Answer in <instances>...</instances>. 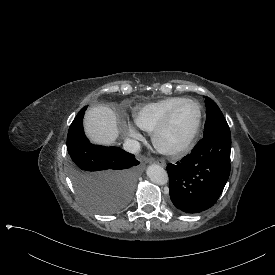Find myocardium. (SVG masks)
Returning <instances> with one entry per match:
<instances>
[{
    "mask_svg": "<svg viewBox=\"0 0 275 275\" xmlns=\"http://www.w3.org/2000/svg\"><path fill=\"white\" fill-rule=\"evenodd\" d=\"M184 103H192L196 106L197 108V118L196 121L194 123V126L192 127L191 131L189 132V134L180 142L176 143V144H168L165 142V136L167 135L171 124H172V119L174 116L175 111L177 110V108L184 104ZM201 122H202V108L200 106V104L194 100V99H184L178 103H176L167 113V115L165 116L163 122L155 128V130L153 131L152 134V142L154 147L157 149V151H159L162 154L165 155H177L180 154L184 151H186L191 144L193 143V141L195 140L200 126H201Z\"/></svg>",
    "mask_w": 275,
    "mask_h": 275,
    "instance_id": "1",
    "label": "myocardium"
}]
</instances>
